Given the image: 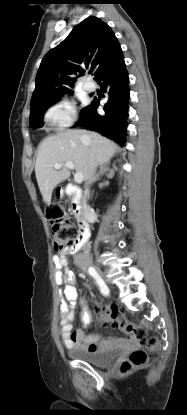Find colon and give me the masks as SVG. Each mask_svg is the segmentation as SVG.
Here are the masks:
<instances>
[{
	"label": "colon",
	"instance_id": "colon-1",
	"mask_svg": "<svg viewBox=\"0 0 187 415\" xmlns=\"http://www.w3.org/2000/svg\"><path fill=\"white\" fill-rule=\"evenodd\" d=\"M53 235V247L56 251H65L74 248L80 240V230L69 219L64 209L52 207L48 212ZM105 325L109 329H118L124 335L137 341L142 348L133 350L121 364L120 372L127 374L144 365L147 361L145 349L154 351L159 347V340L149 336L146 329L127 320L116 307H104L100 311Z\"/></svg>",
	"mask_w": 187,
	"mask_h": 415
}]
</instances>
